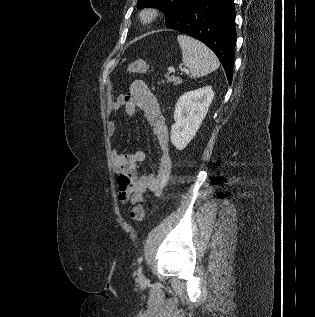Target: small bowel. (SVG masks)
I'll use <instances>...</instances> for the list:
<instances>
[{
  "instance_id": "obj_1",
  "label": "small bowel",
  "mask_w": 315,
  "mask_h": 317,
  "mask_svg": "<svg viewBox=\"0 0 315 317\" xmlns=\"http://www.w3.org/2000/svg\"><path fill=\"white\" fill-rule=\"evenodd\" d=\"M120 108H124L130 117H133L138 109L144 112L160 149L158 169L154 173L139 176L136 166L146 159V153L143 150L121 153L116 147H112L113 169L118 177L119 199L124 203L128 201L136 203L141 201L143 195L148 191L160 195L169 180L172 158L168 127L156 96L141 80L134 81L126 95L120 96L109 104L111 112H116ZM116 129L117 123L115 121L107 123L109 137L115 134Z\"/></svg>"
}]
</instances>
